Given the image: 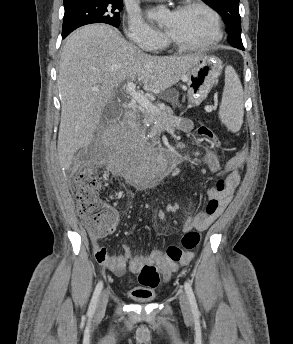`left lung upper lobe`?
<instances>
[{
    "label": "left lung upper lobe",
    "instance_id": "obj_1",
    "mask_svg": "<svg viewBox=\"0 0 293 344\" xmlns=\"http://www.w3.org/2000/svg\"><path fill=\"white\" fill-rule=\"evenodd\" d=\"M215 9L224 19L229 34V43L236 48L244 49L241 39L239 0H202Z\"/></svg>",
    "mask_w": 293,
    "mask_h": 344
}]
</instances>
